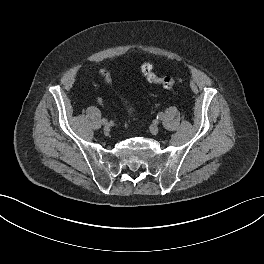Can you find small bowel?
I'll return each mask as SVG.
<instances>
[{
    "label": "small bowel",
    "mask_w": 264,
    "mask_h": 264,
    "mask_svg": "<svg viewBox=\"0 0 264 264\" xmlns=\"http://www.w3.org/2000/svg\"><path fill=\"white\" fill-rule=\"evenodd\" d=\"M98 102H99L100 104H102V103H103V100H102V99H99Z\"/></svg>",
    "instance_id": "c3829d8e"
}]
</instances>
